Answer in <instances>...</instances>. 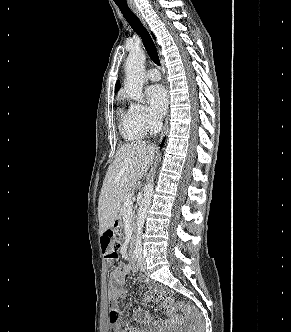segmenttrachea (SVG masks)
<instances>
[{
	"label": "trachea",
	"instance_id": "1",
	"mask_svg": "<svg viewBox=\"0 0 291 332\" xmlns=\"http://www.w3.org/2000/svg\"><path fill=\"white\" fill-rule=\"evenodd\" d=\"M116 5L119 7L121 13L123 14L124 18L129 23V25L132 27V29L141 37L144 47H145L150 59L156 65L159 66L160 59H159L155 44H154L149 32L144 27V25L142 24L140 19L132 12V10L129 8L127 2L116 3Z\"/></svg>",
	"mask_w": 291,
	"mask_h": 332
}]
</instances>
